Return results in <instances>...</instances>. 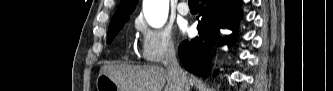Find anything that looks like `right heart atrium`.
I'll return each mask as SVG.
<instances>
[{
    "label": "right heart atrium",
    "mask_w": 333,
    "mask_h": 91,
    "mask_svg": "<svg viewBox=\"0 0 333 91\" xmlns=\"http://www.w3.org/2000/svg\"><path fill=\"white\" fill-rule=\"evenodd\" d=\"M135 28L141 36V57L148 63H162L175 55L176 43L168 28H153L143 18L135 20Z\"/></svg>",
    "instance_id": "obj_1"
}]
</instances>
